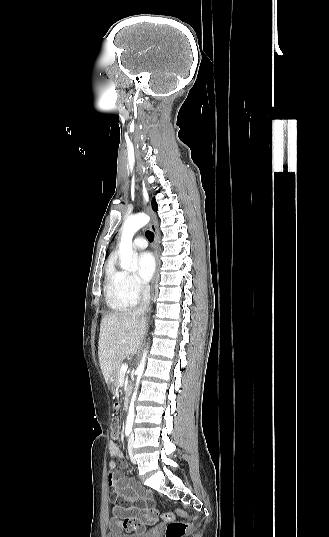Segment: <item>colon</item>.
Segmentation results:
<instances>
[{
    "label": "colon",
    "mask_w": 329,
    "mask_h": 537,
    "mask_svg": "<svg viewBox=\"0 0 329 537\" xmlns=\"http://www.w3.org/2000/svg\"><path fill=\"white\" fill-rule=\"evenodd\" d=\"M111 436L113 439H118L120 436V426L118 420L115 419L112 423ZM186 516L185 512L178 509L174 512H165L162 514V519L167 523L165 537H184L188 531L189 524L182 519ZM198 516V513H195Z\"/></svg>",
    "instance_id": "obj_1"
}]
</instances>
